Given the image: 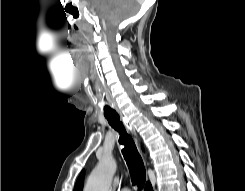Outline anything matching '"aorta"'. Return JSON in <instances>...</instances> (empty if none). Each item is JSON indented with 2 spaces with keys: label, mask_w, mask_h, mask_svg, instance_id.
<instances>
[{
  "label": "aorta",
  "mask_w": 245,
  "mask_h": 191,
  "mask_svg": "<svg viewBox=\"0 0 245 191\" xmlns=\"http://www.w3.org/2000/svg\"><path fill=\"white\" fill-rule=\"evenodd\" d=\"M116 171V162L103 158L90 174L84 191H110L111 180Z\"/></svg>",
  "instance_id": "aorta-1"
}]
</instances>
